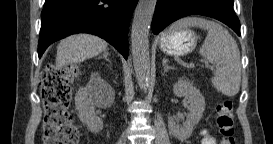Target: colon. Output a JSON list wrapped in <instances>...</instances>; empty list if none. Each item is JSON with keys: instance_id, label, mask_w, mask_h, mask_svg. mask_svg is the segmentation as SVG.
<instances>
[{"instance_id": "colon-1", "label": "colon", "mask_w": 273, "mask_h": 144, "mask_svg": "<svg viewBox=\"0 0 273 144\" xmlns=\"http://www.w3.org/2000/svg\"><path fill=\"white\" fill-rule=\"evenodd\" d=\"M77 75L73 67L46 68L40 77V91L45 108L44 144H76L79 131L70 113L71 82ZM216 125L221 144H235L233 102L221 101L217 105Z\"/></svg>"}]
</instances>
